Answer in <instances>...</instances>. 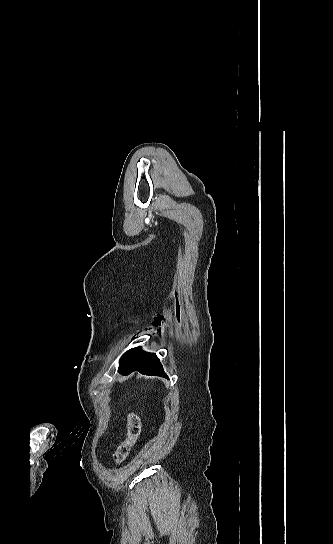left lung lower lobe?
<instances>
[{
    "label": "left lung lower lobe",
    "instance_id": "0a47b994",
    "mask_svg": "<svg viewBox=\"0 0 333 544\" xmlns=\"http://www.w3.org/2000/svg\"><path fill=\"white\" fill-rule=\"evenodd\" d=\"M118 371L123 375L139 371L145 375L167 377L157 356L140 352L139 349L131 350L122 357Z\"/></svg>",
    "mask_w": 333,
    "mask_h": 544
}]
</instances>
